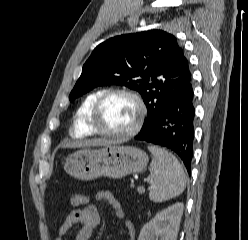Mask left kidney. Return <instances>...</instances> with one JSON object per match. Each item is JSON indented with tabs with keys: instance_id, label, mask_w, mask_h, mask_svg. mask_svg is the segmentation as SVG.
<instances>
[{
	"instance_id": "left-kidney-1",
	"label": "left kidney",
	"mask_w": 248,
	"mask_h": 240,
	"mask_svg": "<svg viewBox=\"0 0 248 240\" xmlns=\"http://www.w3.org/2000/svg\"><path fill=\"white\" fill-rule=\"evenodd\" d=\"M183 209V203H175L157 213L143 226L138 240H176Z\"/></svg>"
}]
</instances>
